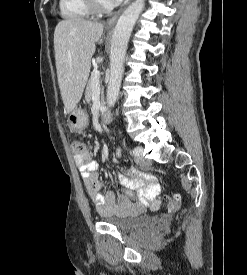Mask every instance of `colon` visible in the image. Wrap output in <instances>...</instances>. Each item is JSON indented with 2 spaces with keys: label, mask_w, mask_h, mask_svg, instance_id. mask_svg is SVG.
<instances>
[{
  "label": "colon",
  "mask_w": 247,
  "mask_h": 275,
  "mask_svg": "<svg viewBox=\"0 0 247 275\" xmlns=\"http://www.w3.org/2000/svg\"><path fill=\"white\" fill-rule=\"evenodd\" d=\"M72 151L75 155H77L80 158H84L86 156V147L85 145L80 141H73L71 143ZM124 195L127 197L132 196L131 189H125ZM167 206L169 210L171 211H177L180 208V195L174 194L172 196L167 197Z\"/></svg>",
  "instance_id": "5ec220e1"
}]
</instances>
